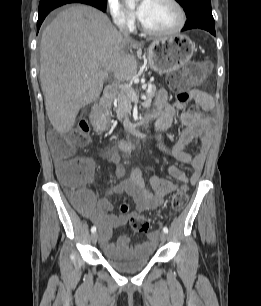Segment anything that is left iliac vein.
Segmentation results:
<instances>
[{"mask_svg": "<svg viewBox=\"0 0 261 306\" xmlns=\"http://www.w3.org/2000/svg\"><path fill=\"white\" fill-rule=\"evenodd\" d=\"M159 237H160V241L161 242H165V241H167V234L166 233H164V232H161L160 233V235H159Z\"/></svg>", "mask_w": 261, "mask_h": 306, "instance_id": "left-iliac-vein-1", "label": "left iliac vein"}]
</instances>
